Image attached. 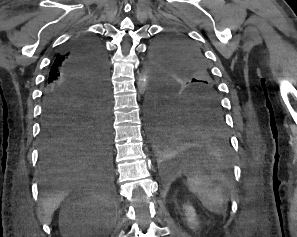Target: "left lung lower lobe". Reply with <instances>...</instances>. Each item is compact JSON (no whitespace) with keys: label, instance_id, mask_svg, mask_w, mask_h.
Segmentation results:
<instances>
[{"label":"left lung lower lobe","instance_id":"1","mask_svg":"<svg viewBox=\"0 0 297 237\" xmlns=\"http://www.w3.org/2000/svg\"><path fill=\"white\" fill-rule=\"evenodd\" d=\"M149 116L154 146L166 167L228 163L231 144L221 105L215 101L180 104L166 95H153Z\"/></svg>","mask_w":297,"mask_h":237}]
</instances>
